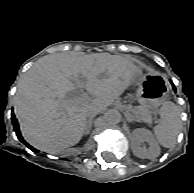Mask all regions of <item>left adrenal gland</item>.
Segmentation results:
<instances>
[{
    "mask_svg": "<svg viewBox=\"0 0 194 193\" xmlns=\"http://www.w3.org/2000/svg\"><path fill=\"white\" fill-rule=\"evenodd\" d=\"M132 120H134V119H132V118H131V119H129V122H132Z\"/></svg>",
    "mask_w": 194,
    "mask_h": 193,
    "instance_id": "obj_1",
    "label": "left adrenal gland"
}]
</instances>
